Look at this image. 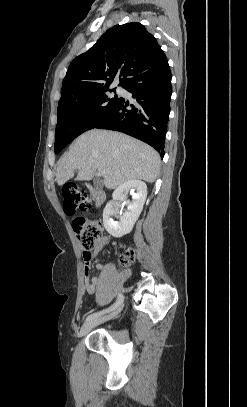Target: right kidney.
Returning <instances> with one entry per match:
<instances>
[{
    "mask_svg": "<svg viewBox=\"0 0 247 407\" xmlns=\"http://www.w3.org/2000/svg\"><path fill=\"white\" fill-rule=\"evenodd\" d=\"M130 191L132 201L127 200L126 193ZM113 200L107 203L103 211V224L106 231L115 238H120L133 229V226L139 218L147 197V186L141 180H128L118 186L113 192ZM124 202L127 205V211L120 216L119 221L112 217L118 212L114 210L113 204Z\"/></svg>",
    "mask_w": 247,
    "mask_h": 407,
    "instance_id": "right-kidney-1",
    "label": "right kidney"
}]
</instances>
